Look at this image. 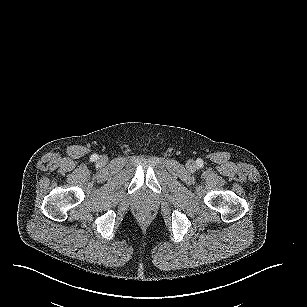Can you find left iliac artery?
Listing matches in <instances>:
<instances>
[{"mask_svg": "<svg viewBox=\"0 0 307 307\" xmlns=\"http://www.w3.org/2000/svg\"><path fill=\"white\" fill-rule=\"evenodd\" d=\"M196 164H197L198 167H203V164H204V163H203V160H202V159H197V160H196Z\"/></svg>", "mask_w": 307, "mask_h": 307, "instance_id": "obj_1", "label": "left iliac artery"}]
</instances>
